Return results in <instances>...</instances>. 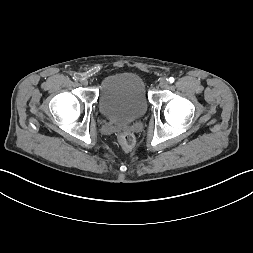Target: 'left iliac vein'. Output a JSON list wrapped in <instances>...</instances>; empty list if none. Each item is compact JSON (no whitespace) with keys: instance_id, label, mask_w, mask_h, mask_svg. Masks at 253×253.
Here are the masks:
<instances>
[{"instance_id":"4c4485c4","label":"left iliac vein","mask_w":253,"mask_h":253,"mask_svg":"<svg viewBox=\"0 0 253 253\" xmlns=\"http://www.w3.org/2000/svg\"><path fill=\"white\" fill-rule=\"evenodd\" d=\"M169 85V82L167 79L163 78L161 79L160 83H159V86L163 89L167 88Z\"/></svg>"}]
</instances>
